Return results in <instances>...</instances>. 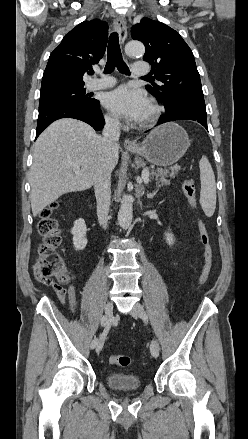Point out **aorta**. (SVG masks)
I'll use <instances>...</instances> for the list:
<instances>
[{
    "label": "aorta",
    "instance_id": "1",
    "mask_svg": "<svg viewBox=\"0 0 248 439\" xmlns=\"http://www.w3.org/2000/svg\"><path fill=\"white\" fill-rule=\"evenodd\" d=\"M128 56H142L145 52L144 45L139 41H130L125 46ZM133 218V197L124 194L121 199V206L118 212V222L121 228L128 229Z\"/></svg>",
    "mask_w": 248,
    "mask_h": 439
}]
</instances>
